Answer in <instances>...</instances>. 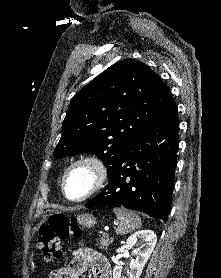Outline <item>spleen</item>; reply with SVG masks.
Instances as JSON below:
<instances>
[{"label": "spleen", "instance_id": "3e777b00", "mask_svg": "<svg viewBox=\"0 0 221 278\" xmlns=\"http://www.w3.org/2000/svg\"><path fill=\"white\" fill-rule=\"evenodd\" d=\"M113 212L119 220V225L115 231L118 235H125L142 226L141 218L128 209L114 208Z\"/></svg>", "mask_w": 221, "mask_h": 278}]
</instances>
